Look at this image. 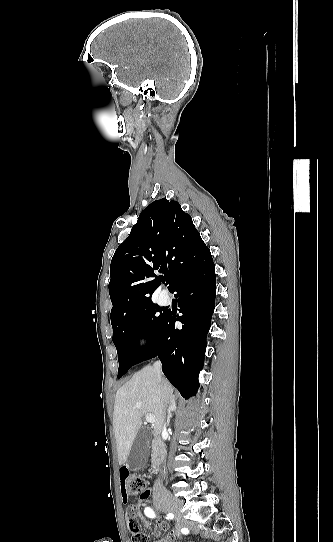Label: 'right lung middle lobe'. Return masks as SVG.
Listing matches in <instances>:
<instances>
[{
  "mask_svg": "<svg viewBox=\"0 0 333 542\" xmlns=\"http://www.w3.org/2000/svg\"><path fill=\"white\" fill-rule=\"evenodd\" d=\"M153 302L111 319L113 343L116 346L121 378L152 347L157 331L166 317V312ZM145 337L148 344L141 348L139 339Z\"/></svg>",
  "mask_w": 333,
  "mask_h": 542,
  "instance_id": "dd1d6c3e",
  "label": "right lung middle lobe"
}]
</instances>
